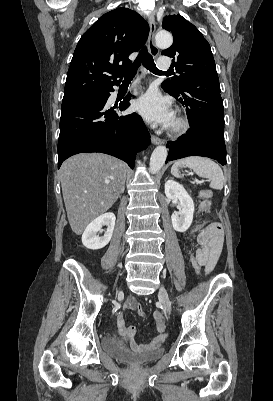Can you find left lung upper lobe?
<instances>
[{"mask_svg":"<svg viewBox=\"0 0 273 401\" xmlns=\"http://www.w3.org/2000/svg\"><path fill=\"white\" fill-rule=\"evenodd\" d=\"M162 27L173 35V44L162 55L177 56L179 75L162 83L166 92L179 94L186 89L205 88L220 93L219 79L211 48L202 33L181 15H166Z\"/></svg>","mask_w":273,"mask_h":401,"instance_id":"1","label":"left lung upper lobe"}]
</instances>
